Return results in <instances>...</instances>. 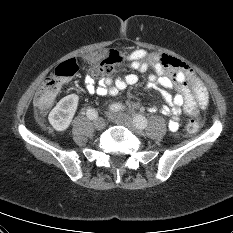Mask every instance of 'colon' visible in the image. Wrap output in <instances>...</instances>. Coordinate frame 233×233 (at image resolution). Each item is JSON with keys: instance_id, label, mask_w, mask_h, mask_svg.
Listing matches in <instances>:
<instances>
[{"instance_id": "colon-1", "label": "colon", "mask_w": 233, "mask_h": 233, "mask_svg": "<svg viewBox=\"0 0 233 233\" xmlns=\"http://www.w3.org/2000/svg\"><path fill=\"white\" fill-rule=\"evenodd\" d=\"M121 61L122 56L118 52H111L106 59L93 68L92 75L95 77L107 75ZM77 71L76 61L71 59L58 65L55 72L44 81L34 97V105L39 115H43L51 108L63 83L74 76ZM200 128L201 123L195 118L191 119L186 126V130L190 134L196 133Z\"/></svg>"}]
</instances>
